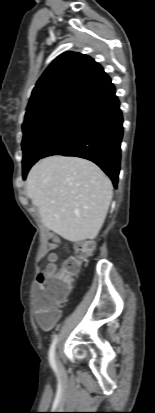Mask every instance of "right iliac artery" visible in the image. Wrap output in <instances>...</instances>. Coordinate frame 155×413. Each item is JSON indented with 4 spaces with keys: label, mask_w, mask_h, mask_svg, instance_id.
<instances>
[{
    "label": "right iliac artery",
    "mask_w": 155,
    "mask_h": 413,
    "mask_svg": "<svg viewBox=\"0 0 155 413\" xmlns=\"http://www.w3.org/2000/svg\"><path fill=\"white\" fill-rule=\"evenodd\" d=\"M56 342H57V336H55V338L52 341V344L50 346V350H49V362L51 367L53 368V370L58 373V369H57V364L55 361V346H56Z\"/></svg>",
    "instance_id": "1"
}]
</instances>
